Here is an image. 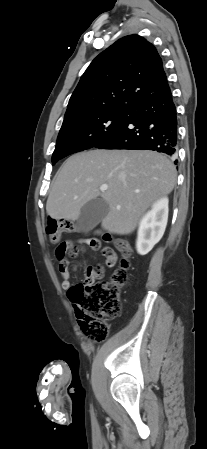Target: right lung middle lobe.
I'll use <instances>...</instances> for the list:
<instances>
[{"label":"right lung middle lobe","mask_w":207,"mask_h":449,"mask_svg":"<svg viewBox=\"0 0 207 449\" xmlns=\"http://www.w3.org/2000/svg\"><path fill=\"white\" fill-rule=\"evenodd\" d=\"M133 111L131 108L101 109L64 120L52 155V165L105 140L125 124Z\"/></svg>","instance_id":"dd1d6c3e"}]
</instances>
